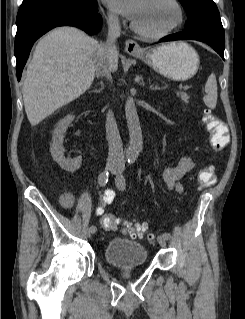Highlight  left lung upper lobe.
<instances>
[{"label":"left lung upper lobe","instance_id":"1","mask_svg":"<svg viewBox=\"0 0 245 319\" xmlns=\"http://www.w3.org/2000/svg\"><path fill=\"white\" fill-rule=\"evenodd\" d=\"M187 13L186 31L206 30L224 38L218 8L213 0H179Z\"/></svg>","mask_w":245,"mask_h":319}]
</instances>
